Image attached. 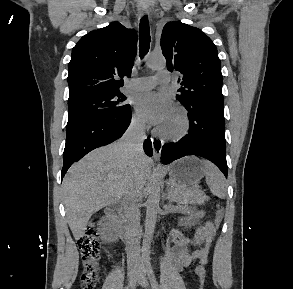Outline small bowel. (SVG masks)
<instances>
[{
    "label": "small bowel",
    "instance_id": "c3829d8e",
    "mask_svg": "<svg viewBox=\"0 0 293 289\" xmlns=\"http://www.w3.org/2000/svg\"><path fill=\"white\" fill-rule=\"evenodd\" d=\"M179 211L192 217L196 222H199L204 216L202 210L190 206H182ZM215 234L216 228L210 221L203 224L198 223L193 238H188L181 231L172 229L170 236L174 242V247L171 252V260L175 269L183 270L194 260H198L200 264L195 269L196 275L199 279L202 276L205 277V265L207 264ZM190 247H195V251L191 253L189 251Z\"/></svg>",
    "mask_w": 293,
    "mask_h": 289
}]
</instances>
